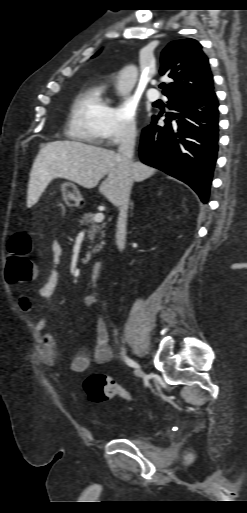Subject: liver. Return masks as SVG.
I'll return each mask as SVG.
<instances>
[{"instance_id":"6515ba94","label":"liver","mask_w":247,"mask_h":513,"mask_svg":"<svg viewBox=\"0 0 247 513\" xmlns=\"http://www.w3.org/2000/svg\"><path fill=\"white\" fill-rule=\"evenodd\" d=\"M156 169L141 162L134 163V171L127 174L124 164L112 150L76 141H54L40 149L30 174L27 206L40 197L48 183L65 178L85 188L100 184L99 192L111 203L117 200L121 186L141 182L155 174Z\"/></svg>"}]
</instances>
